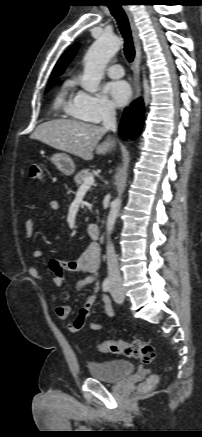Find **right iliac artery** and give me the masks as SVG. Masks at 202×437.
I'll use <instances>...</instances> for the list:
<instances>
[{"label": "right iliac artery", "instance_id": "1", "mask_svg": "<svg viewBox=\"0 0 202 437\" xmlns=\"http://www.w3.org/2000/svg\"><path fill=\"white\" fill-rule=\"evenodd\" d=\"M111 288V280L105 279L102 283V289L104 292H108Z\"/></svg>", "mask_w": 202, "mask_h": 437}]
</instances>
